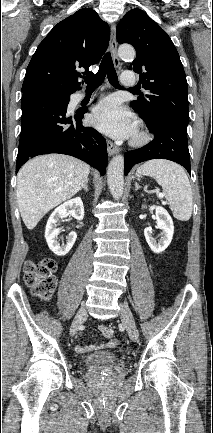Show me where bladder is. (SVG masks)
Segmentation results:
<instances>
[{
  "label": "bladder",
  "mask_w": 213,
  "mask_h": 433,
  "mask_svg": "<svg viewBox=\"0 0 213 433\" xmlns=\"http://www.w3.org/2000/svg\"><path fill=\"white\" fill-rule=\"evenodd\" d=\"M116 361H118V356L115 352L102 351L88 355L84 360V364L88 367H94L114 363Z\"/></svg>",
  "instance_id": "obj_1"
}]
</instances>
